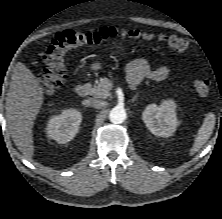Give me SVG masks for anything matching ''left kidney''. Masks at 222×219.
I'll return each instance as SVG.
<instances>
[{
	"label": "left kidney",
	"mask_w": 222,
	"mask_h": 219,
	"mask_svg": "<svg viewBox=\"0 0 222 219\" xmlns=\"http://www.w3.org/2000/svg\"><path fill=\"white\" fill-rule=\"evenodd\" d=\"M142 119L152 134L170 137L178 125L176 103L173 100H164L160 106L149 104L142 113Z\"/></svg>",
	"instance_id": "5707ae66"
}]
</instances>
